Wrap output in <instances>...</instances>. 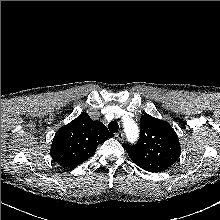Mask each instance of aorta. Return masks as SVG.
<instances>
[{"label":"aorta","instance_id":"obj_1","mask_svg":"<svg viewBox=\"0 0 220 220\" xmlns=\"http://www.w3.org/2000/svg\"><path fill=\"white\" fill-rule=\"evenodd\" d=\"M123 128L125 134L130 142H135L139 136V127L138 125L131 119H126L123 122Z\"/></svg>","mask_w":220,"mask_h":220}]
</instances>
